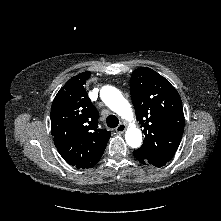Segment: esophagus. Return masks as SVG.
<instances>
[{"label": "esophagus", "instance_id": "34e87169", "mask_svg": "<svg viewBox=\"0 0 221 221\" xmlns=\"http://www.w3.org/2000/svg\"><path fill=\"white\" fill-rule=\"evenodd\" d=\"M125 130H126V125L123 123L119 124L116 128L117 133H123Z\"/></svg>", "mask_w": 221, "mask_h": 221}]
</instances>
